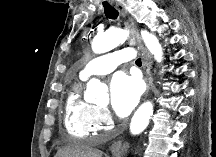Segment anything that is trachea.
I'll return each mask as SVG.
<instances>
[{"mask_svg": "<svg viewBox=\"0 0 216 157\" xmlns=\"http://www.w3.org/2000/svg\"><path fill=\"white\" fill-rule=\"evenodd\" d=\"M103 6H104V12L107 18L109 19H116L119 15V12L116 8H114L113 6H111L108 2H103ZM136 64L137 65H141V59H137L136 60Z\"/></svg>", "mask_w": 216, "mask_h": 157, "instance_id": "trachea-1", "label": "trachea"}]
</instances>
